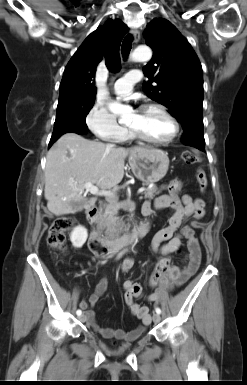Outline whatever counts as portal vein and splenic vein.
Segmentation results:
<instances>
[{
  "label": "portal vein and splenic vein",
  "instance_id": "1",
  "mask_svg": "<svg viewBox=\"0 0 247 385\" xmlns=\"http://www.w3.org/2000/svg\"><path fill=\"white\" fill-rule=\"evenodd\" d=\"M83 187L90 191L91 194H94V195H101V196H110V197H113L114 196V193L111 192V191H108V190H99L98 187L94 186V181L93 182H86ZM144 188H140L138 190V194H141L144 192Z\"/></svg>",
  "mask_w": 247,
  "mask_h": 385
}]
</instances>
